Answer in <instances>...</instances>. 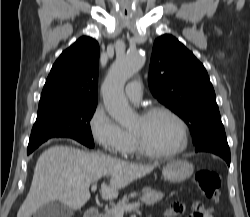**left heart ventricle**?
<instances>
[{
    "instance_id": "1",
    "label": "left heart ventricle",
    "mask_w": 250,
    "mask_h": 217,
    "mask_svg": "<svg viewBox=\"0 0 250 217\" xmlns=\"http://www.w3.org/2000/svg\"><path fill=\"white\" fill-rule=\"evenodd\" d=\"M130 130L139 135L153 150L168 152L181 141V131L176 121L165 113H156L143 119H136Z\"/></svg>"
}]
</instances>
